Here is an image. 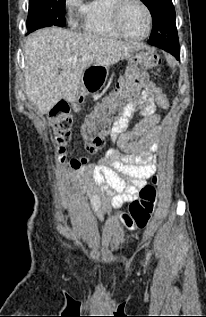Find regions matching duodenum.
Here are the masks:
<instances>
[{"label": "duodenum", "mask_w": 206, "mask_h": 317, "mask_svg": "<svg viewBox=\"0 0 206 317\" xmlns=\"http://www.w3.org/2000/svg\"><path fill=\"white\" fill-rule=\"evenodd\" d=\"M73 105L75 106V109H78V106L80 105V102L78 100H75L73 102Z\"/></svg>", "instance_id": "duodenum-1"}]
</instances>
